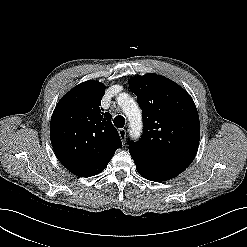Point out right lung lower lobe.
<instances>
[{"label": "right lung lower lobe", "mask_w": 247, "mask_h": 247, "mask_svg": "<svg viewBox=\"0 0 247 247\" xmlns=\"http://www.w3.org/2000/svg\"><path fill=\"white\" fill-rule=\"evenodd\" d=\"M106 166H107V164L103 165V166H101L99 168H96V169H93V170H90V171H87V172H84V173L77 174V176H79V177H89V176L96 175V174L100 173L101 171H103Z\"/></svg>", "instance_id": "1"}]
</instances>
